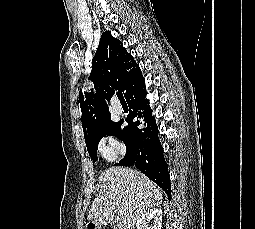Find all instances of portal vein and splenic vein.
Returning <instances> with one entry per match:
<instances>
[{"instance_id":"1","label":"portal vein and splenic vein","mask_w":255,"mask_h":229,"mask_svg":"<svg viewBox=\"0 0 255 229\" xmlns=\"http://www.w3.org/2000/svg\"><path fill=\"white\" fill-rule=\"evenodd\" d=\"M123 214H124V212H123L122 210H119V211H118V215H119V216H122Z\"/></svg>"}]
</instances>
